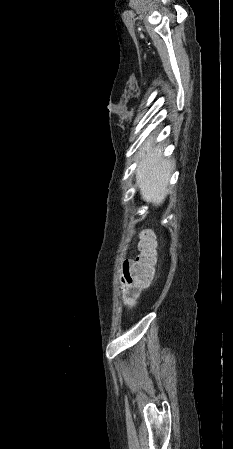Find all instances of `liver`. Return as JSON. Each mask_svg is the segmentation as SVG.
<instances>
[{"mask_svg":"<svg viewBox=\"0 0 233 449\" xmlns=\"http://www.w3.org/2000/svg\"><path fill=\"white\" fill-rule=\"evenodd\" d=\"M153 139L150 137L140 149L136 184L144 200L153 206H160L169 192L168 183L175 163L162 158L160 145L151 148Z\"/></svg>","mask_w":233,"mask_h":449,"instance_id":"6515ba94","label":"liver"}]
</instances>
